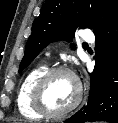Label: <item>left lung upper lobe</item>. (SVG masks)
<instances>
[{
	"label": "left lung upper lobe",
	"mask_w": 118,
	"mask_h": 123,
	"mask_svg": "<svg viewBox=\"0 0 118 123\" xmlns=\"http://www.w3.org/2000/svg\"><path fill=\"white\" fill-rule=\"evenodd\" d=\"M118 15V0H47L32 24L19 72L50 42H69L77 28H93L96 34ZM71 47L75 49L72 44Z\"/></svg>",
	"instance_id": "obj_1"
}]
</instances>
